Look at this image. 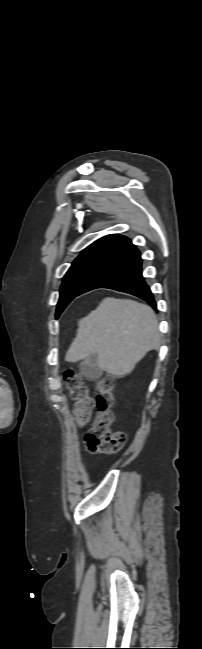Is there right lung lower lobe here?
<instances>
[{
    "instance_id": "obj_1",
    "label": "right lung lower lobe",
    "mask_w": 202,
    "mask_h": 649,
    "mask_svg": "<svg viewBox=\"0 0 202 649\" xmlns=\"http://www.w3.org/2000/svg\"><path fill=\"white\" fill-rule=\"evenodd\" d=\"M96 288L135 295L156 309L154 295L142 276V259L136 247L109 261L84 285L79 295Z\"/></svg>"
}]
</instances>
